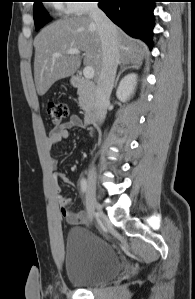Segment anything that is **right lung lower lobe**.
Instances as JSON below:
<instances>
[{
	"label": "right lung lower lobe",
	"instance_id": "98d812e1",
	"mask_svg": "<svg viewBox=\"0 0 195 299\" xmlns=\"http://www.w3.org/2000/svg\"><path fill=\"white\" fill-rule=\"evenodd\" d=\"M156 0H98L99 8L127 34L152 48Z\"/></svg>",
	"mask_w": 195,
	"mask_h": 299
}]
</instances>
